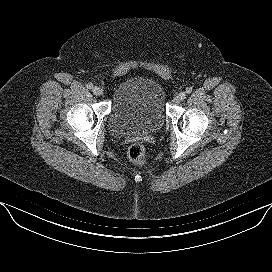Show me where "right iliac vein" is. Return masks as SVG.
Segmentation results:
<instances>
[{
  "label": "right iliac vein",
  "instance_id": "obj_1",
  "mask_svg": "<svg viewBox=\"0 0 272 272\" xmlns=\"http://www.w3.org/2000/svg\"><path fill=\"white\" fill-rule=\"evenodd\" d=\"M93 94L96 95V96H100L102 93H103V90L102 88L98 87V86H95L93 89Z\"/></svg>",
  "mask_w": 272,
  "mask_h": 272
}]
</instances>
